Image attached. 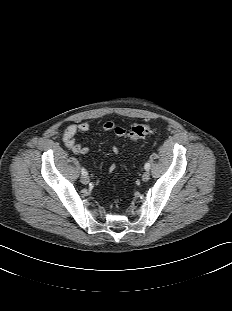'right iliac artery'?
Returning a JSON list of instances; mask_svg holds the SVG:
<instances>
[{
  "label": "right iliac artery",
  "instance_id": "82829eb1",
  "mask_svg": "<svg viewBox=\"0 0 232 311\" xmlns=\"http://www.w3.org/2000/svg\"><path fill=\"white\" fill-rule=\"evenodd\" d=\"M81 172H82V175H85V176H87V175H88V173H87L86 169H84V168H82Z\"/></svg>",
  "mask_w": 232,
  "mask_h": 311
}]
</instances>
